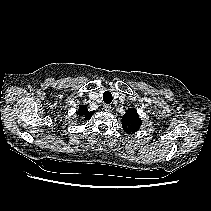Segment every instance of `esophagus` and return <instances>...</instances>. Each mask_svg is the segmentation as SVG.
Instances as JSON below:
<instances>
[{
	"label": "esophagus",
	"mask_w": 211,
	"mask_h": 211,
	"mask_svg": "<svg viewBox=\"0 0 211 211\" xmlns=\"http://www.w3.org/2000/svg\"><path fill=\"white\" fill-rule=\"evenodd\" d=\"M104 109H105V111H110L111 105H109V104L104 105Z\"/></svg>",
	"instance_id": "obj_1"
}]
</instances>
